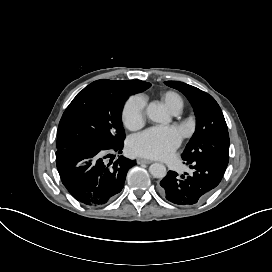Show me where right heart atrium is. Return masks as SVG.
<instances>
[{"instance_id":"right-heart-atrium-1","label":"right heart atrium","mask_w":272,"mask_h":272,"mask_svg":"<svg viewBox=\"0 0 272 272\" xmlns=\"http://www.w3.org/2000/svg\"><path fill=\"white\" fill-rule=\"evenodd\" d=\"M145 107V99L140 95L132 96L127 100L123 110V121L126 127L135 130L143 125Z\"/></svg>"}]
</instances>
